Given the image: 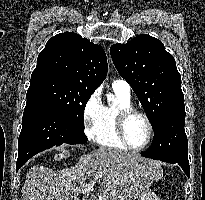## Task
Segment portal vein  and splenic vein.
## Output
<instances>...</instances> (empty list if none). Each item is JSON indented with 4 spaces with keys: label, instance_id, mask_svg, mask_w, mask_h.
<instances>
[{
    "label": "portal vein and splenic vein",
    "instance_id": "1",
    "mask_svg": "<svg viewBox=\"0 0 205 200\" xmlns=\"http://www.w3.org/2000/svg\"><path fill=\"white\" fill-rule=\"evenodd\" d=\"M105 173H106V170L96 173L95 179L101 178ZM80 191L83 194L89 196L90 194H92L93 186L89 184L86 187H82Z\"/></svg>",
    "mask_w": 205,
    "mask_h": 200
}]
</instances>
